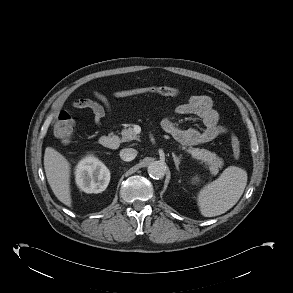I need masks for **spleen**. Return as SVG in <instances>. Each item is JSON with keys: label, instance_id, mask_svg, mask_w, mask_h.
<instances>
[{"label": "spleen", "instance_id": "3e777b00", "mask_svg": "<svg viewBox=\"0 0 293 293\" xmlns=\"http://www.w3.org/2000/svg\"><path fill=\"white\" fill-rule=\"evenodd\" d=\"M247 185V172L237 166L227 167L214 181L198 193V206L205 217L221 215L231 209L242 196Z\"/></svg>", "mask_w": 293, "mask_h": 293}]
</instances>
